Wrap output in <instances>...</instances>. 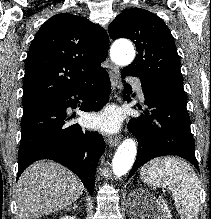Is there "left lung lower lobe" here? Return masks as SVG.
<instances>
[{"instance_id":"obj_1","label":"left lung lower lobe","mask_w":211,"mask_h":219,"mask_svg":"<svg viewBox=\"0 0 211 219\" xmlns=\"http://www.w3.org/2000/svg\"><path fill=\"white\" fill-rule=\"evenodd\" d=\"M128 75L135 76L126 71L121 73L122 78ZM124 86L123 98L130 101L131 87L128 84ZM141 86L149 110L128 123L129 131L138 141L137 159L129 177L149 160L166 155L183 157L199 170L183 84L141 81Z\"/></svg>"}]
</instances>
